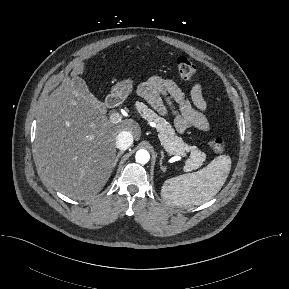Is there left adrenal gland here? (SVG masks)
Here are the masks:
<instances>
[{
  "label": "left adrenal gland",
  "instance_id": "1",
  "mask_svg": "<svg viewBox=\"0 0 289 289\" xmlns=\"http://www.w3.org/2000/svg\"><path fill=\"white\" fill-rule=\"evenodd\" d=\"M163 158H164V153H163V151H161V159H160V169L162 170V171H165V168L162 166V160H163Z\"/></svg>",
  "mask_w": 289,
  "mask_h": 289
}]
</instances>
